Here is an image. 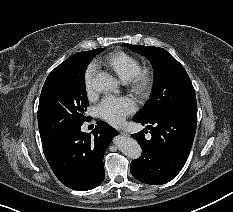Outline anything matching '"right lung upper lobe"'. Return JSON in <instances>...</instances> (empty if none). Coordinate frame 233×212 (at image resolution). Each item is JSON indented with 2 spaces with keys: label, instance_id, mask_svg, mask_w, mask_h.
I'll return each mask as SVG.
<instances>
[{
  "label": "right lung upper lobe",
  "instance_id": "1",
  "mask_svg": "<svg viewBox=\"0 0 233 212\" xmlns=\"http://www.w3.org/2000/svg\"><path fill=\"white\" fill-rule=\"evenodd\" d=\"M89 51H85V52H79V53H76L72 56H70L67 60H65L63 63H61L60 65L58 66H62L64 64H67L69 62H71L72 60H74L75 58H78V57H84L88 54Z\"/></svg>",
  "mask_w": 233,
  "mask_h": 212
}]
</instances>
